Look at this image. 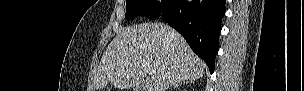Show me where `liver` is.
I'll return each mask as SVG.
<instances>
[{
  "mask_svg": "<svg viewBox=\"0 0 304 91\" xmlns=\"http://www.w3.org/2000/svg\"><path fill=\"white\" fill-rule=\"evenodd\" d=\"M144 65L152 70L146 91H166L172 84L195 81L206 68L176 30L148 22L117 33L101 58L96 89L109 83L121 90L137 89L145 75Z\"/></svg>",
  "mask_w": 304,
  "mask_h": 91,
  "instance_id": "liver-1",
  "label": "liver"
}]
</instances>
